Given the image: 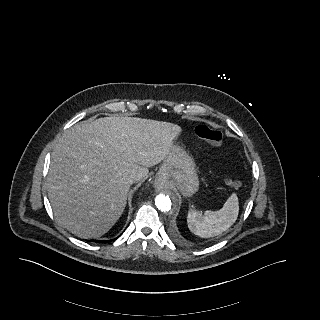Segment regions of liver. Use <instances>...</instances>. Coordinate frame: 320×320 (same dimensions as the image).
Segmentation results:
<instances>
[{
    "mask_svg": "<svg viewBox=\"0 0 320 320\" xmlns=\"http://www.w3.org/2000/svg\"><path fill=\"white\" fill-rule=\"evenodd\" d=\"M182 129L137 117L80 122L52 153L48 196L59 224L81 238H98L121 217L135 182L159 164Z\"/></svg>",
    "mask_w": 320,
    "mask_h": 320,
    "instance_id": "6515ba94",
    "label": "liver"
}]
</instances>
